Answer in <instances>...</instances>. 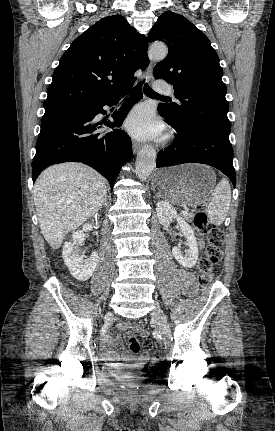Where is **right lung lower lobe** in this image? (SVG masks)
Instances as JSON below:
<instances>
[{"label": "right lung lower lobe", "mask_w": 275, "mask_h": 431, "mask_svg": "<svg viewBox=\"0 0 275 431\" xmlns=\"http://www.w3.org/2000/svg\"><path fill=\"white\" fill-rule=\"evenodd\" d=\"M141 85L135 86L124 105L112 114L113 122H96L94 118L105 114L103 106L114 105L131 87L106 100L45 110L32 162L33 182L52 164L82 162L102 174L113 188L121 166L132 156V143L120 130L102 129L122 125L130 108L143 97Z\"/></svg>", "instance_id": "right-lung-lower-lobe-1"}]
</instances>
